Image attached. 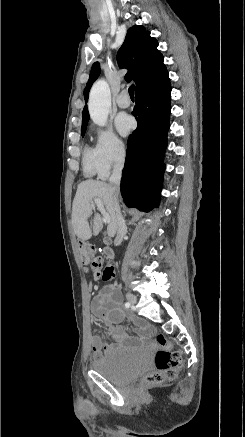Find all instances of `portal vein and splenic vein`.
<instances>
[{"instance_id":"18ae733b","label":"portal vein and splenic vein","mask_w":245,"mask_h":437,"mask_svg":"<svg viewBox=\"0 0 245 437\" xmlns=\"http://www.w3.org/2000/svg\"><path fill=\"white\" fill-rule=\"evenodd\" d=\"M95 205L97 206L98 210L103 215V220L105 222H110L109 214L106 212L104 205L102 204V201L100 199H94V201H92V203H91V206L94 208Z\"/></svg>"}]
</instances>
